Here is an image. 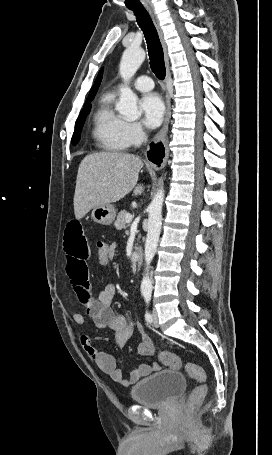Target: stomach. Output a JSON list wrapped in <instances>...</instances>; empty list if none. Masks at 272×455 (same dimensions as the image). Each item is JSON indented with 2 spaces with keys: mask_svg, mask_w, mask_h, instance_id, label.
<instances>
[{
  "mask_svg": "<svg viewBox=\"0 0 272 455\" xmlns=\"http://www.w3.org/2000/svg\"><path fill=\"white\" fill-rule=\"evenodd\" d=\"M91 217L96 223L110 225L116 217V210L111 204L95 207L92 209Z\"/></svg>",
  "mask_w": 272,
  "mask_h": 455,
  "instance_id": "1",
  "label": "stomach"
}]
</instances>
